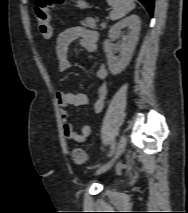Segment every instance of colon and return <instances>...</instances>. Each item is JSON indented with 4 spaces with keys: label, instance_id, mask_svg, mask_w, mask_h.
<instances>
[{
    "label": "colon",
    "instance_id": "obj_1",
    "mask_svg": "<svg viewBox=\"0 0 188 213\" xmlns=\"http://www.w3.org/2000/svg\"><path fill=\"white\" fill-rule=\"evenodd\" d=\"M64 0H36L33 12L37 21L39 32L45 40L49 41L52 38L53 32L51 27L50 8L55 5H62ZM73 161L82 165L85 162L86 155L81 148L74 149L72 153Z\"/></svg>",
    "mask_w": 188,
    "mask_h": 213
}]
</instances>
